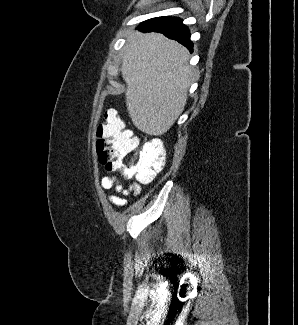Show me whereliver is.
Listing matches in <instances>:
<instances>
[{
	"mask_svg": "<svg viewBox=\"0 0 298 325\" xmlns=\"http://www.w3.org/2000/svg\"><path fill=\"white\" fill-rule=\"evenodd\" d=\"M120 68L126 88V108L135 126L160 136L186 106L193 76L182 44L160 32H132L127 36Z\"/></svg>",
	"mask_w": 298,
	"mask_h": 325,
	"instance_id": "6515ba94",
	"label": "liver"
}]
</instances>
